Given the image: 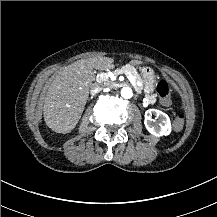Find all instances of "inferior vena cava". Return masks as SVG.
Wrapping results in <instances>:
<instances>
[{
    "mask_svg": "<svg viewBox=\"0 0 217 217\" xmlns=\"http://www.w3.org/2000/svg\"><path fill=\"white\" fill-rule=\"evenodd\" d=\"M93 89L95 90H98V91H101L102 90V86L98 83H96L94 86H93Z\"/></svg>",
    "mask_w": 217,
    "mask_h": 217,
    "instance_id": "inferior-vena-cava-1",
    "label": "inferior vena cava"
}]
</instances>
